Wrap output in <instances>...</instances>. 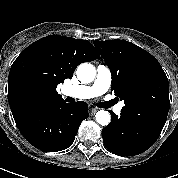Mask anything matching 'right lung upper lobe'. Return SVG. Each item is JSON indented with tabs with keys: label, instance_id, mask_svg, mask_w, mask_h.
Returning <instances> with one entry per match:
<instances>
[{
	"label": "right lung upper lobe",
	"instance_id": "1",
	"mask_svg": "<svg viewBox=\"0 0 178 178\" xmlns=\"http://www.w3.org/2000/svg\"><path fill=\"white\" fill-rule=\"evenodd\" d=\"M99 58L94 46L71 37L50 35L24 49L11 66L8 100L13 117L62 101L57 85L72 78L76 67Z\"/></svg>",
	"mask_w": 178,
	"mask_h": 178
}]
</instances>
